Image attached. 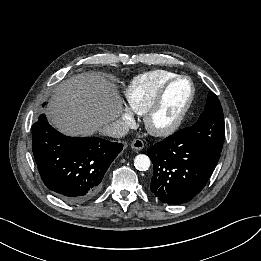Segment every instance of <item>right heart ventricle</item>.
I'll list each match as a JSON object with an SVG mask.
<instances>
[{"mask_svg":"<svg viewBox=\"0 0 261 261\" xmlns=\"http://www.w3.org/2000/svg\"><path fill=\"white\" fill-rule=\"evenodd\" d=\"M175 76L171 71L154 70L134 77L125 91L127 104L136 114L144 115L161 88Z\"/></svg>","mask_w":261,"mask_h":261,"instance_id":"e07e8e85","label":"right heart ventricle"}]
</instances>
